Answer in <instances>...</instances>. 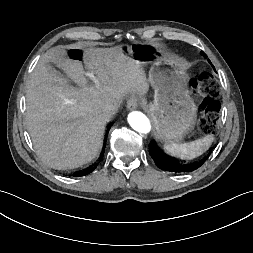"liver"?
<instances>
[{"label": "liver", "mask_w": 253, "mask_h": 253, "mask_svg": "<svg viewBox=\"0 0 253 253\" xmlns=\"http://www.w3.org/2000/svg\"><path fill=\"white\" fill-rule=\"evenodd\" d=\"M83 61L85 67L69 58L64 47L51 48L27 85V130L39 158L57 170L78 168L97 157L109 120L103 111L106 104L119 106L126 95H145L149 90L140 62L122 46L86 48ZM50 62L78 87L51 72ZM87 72L99 86L89 83Z\"/></svg>", "instance_id": "6515ba94"}]
</instances>
